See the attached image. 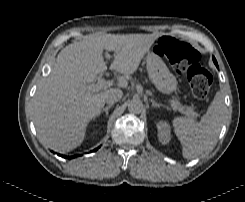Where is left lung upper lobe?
Segmentation results:
<instances>
[{
	"label": "left lung upper lobe",
	"mask_w": 245,
	"mask_h": 202,
	"mask_svg": "<svg viewBox=\"0 0 245 202\" xmlns=\"http://www.w3.org/2000/svg\"><path fill=\"white\" fill-rule=\"evenodd\" d=\"M213 61H214L215 65L218 67V65H217V62H216L215 58H213Z\"/></svg>",
	"instance_id": "1"
}]
</instances>
